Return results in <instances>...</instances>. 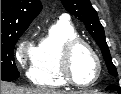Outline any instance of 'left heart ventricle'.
<instances>
[{
    "label": "left heart ventricle",
    "mask_w": 121,
    "mask_h": 94,
    "mask_svg": "<svg viewBox=\"0 0 121 94\" xmlns=\"http://www.w3.org/2000/svg\"><path fill=\"white\" fill-rule=\"evenodd\" d=\"M71 70L78 82L88 83L97 74V64L91 52L82 45L75 48L72 54Z\"/></svg>",
    "instance_id": "obj_1"
}]
</instances>
